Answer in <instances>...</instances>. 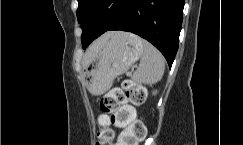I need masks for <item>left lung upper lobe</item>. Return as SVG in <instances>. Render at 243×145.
Listing matches in <instances>:
<instances>
[{
  "instance_id": "1",
  "label": "left lung upper lobe",
  "mask_w": 243,
  "mask_h": 145,
  "mask_svg": "<svg viewBox=\"0 0 243 145\" xmlns=\"http://www.w3.org/2000/svg\"><path fill=\"white\" fill-rule=\"evenodd\" d=\"M124 0H78L77 19L83 30L81 42L88 34L86 21L94 16L97 20H111L116 16Z\"/></svg>"
}]
</instances>
